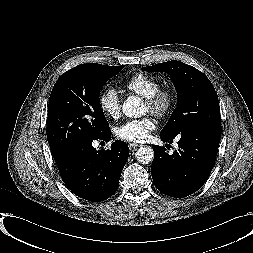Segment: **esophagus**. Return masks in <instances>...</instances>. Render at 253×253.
Returning a JSON list of instances; mask_svg holds the SVG:
<instances>
[{"label":"esophagus","instance_id":"obj_1","mask_svg":"<svg viewBox=\"0 0 253 253\" xmlns=\"http://www.w3.org/2000/svg\"><path fill=\"white\" fill-rule=\"evenodd\" d=\"M128 146H129L130 151H135L139 147L138 144H134V143H129Z\"/></svg>","mask_w":253,"mask_h":253}]
</instances>
